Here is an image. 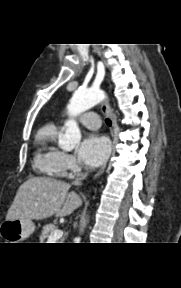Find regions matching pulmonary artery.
Segmentation results:
<instances>
[{"instance_id": "e3ab8cb5", "label": "pulmonary artery", "mask_w": 181, "mask_h": 288, "mask_svg": "<svg viewBox=\"0 0 181 288\" xmlns=\"http://www.w3.org/2000/svg\"><path fill=\"white\" fill-rule=\"evenodd\" d=\"M81 125L88 129L96 130L100 127L99 117L94 112H88L80 119Z\"/></svg>"}]
</instances>
